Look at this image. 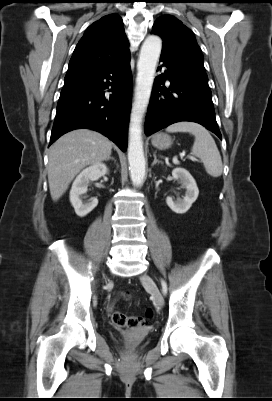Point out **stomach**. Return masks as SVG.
I'll return each mask as SVG.
<instances>
[{
    "instance_id": "obj_1",
    "label": "stomach",
    "mask_w": 272,
    "mask_h": 401,
    "mask_svg": "<svg viewBox=\"0 0 272 401\" xmlns=\"http://www.w3.org/2000/svg\"><path fill=\"white\" fill-rule=\"evenodd\" d=\"M152 145L159 149V150H165L171 147L172 145V138L163 132L157 133L152 137Z\"/></svg>"
}]
</instances>
